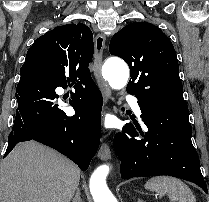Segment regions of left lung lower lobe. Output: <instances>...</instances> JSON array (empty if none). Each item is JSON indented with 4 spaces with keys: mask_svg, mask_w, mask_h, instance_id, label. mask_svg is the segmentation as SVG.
Returning <instances> with one entry per match:
<instances>
[{
    "mask_svg": "<svg viewBox=\"0 0 209 202\" xmlns=\"http://www.w3.org/2000/svg\"><path fill=\"white\" fill-rule=\"evenodd\" d=\"M138 105L148 132L127 123L113 140L114 150L121 160V178L169 175L191 181L208 194L191 141L188 109L141 100Z\"/></svg>",
    "mask_w": 209,
    "mask_h": 202,
    "instance_id": "0a47b994",
    "label": "left lung lower lobe"
}]
</instances>
